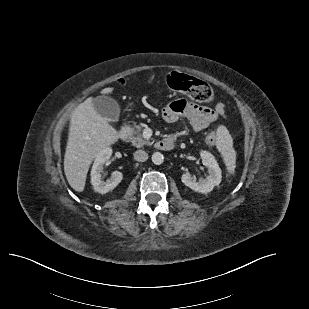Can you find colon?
Listing matches in <instances>:
<instances>
[{"label":"colon","instance_id":"colon-1","mask_svg":"<svg viewBox=\"0 0 309 309\" xmlns=\"http://www.w3.org/2000/svg\"><path fill=\"white\" fill-rule=\"evenodd\" d=\"M167 86L173 91L188 95L197 102L210 103L214 100V93L210 86L184 73L174 72L168 76ZM205 141L207 144H214L215 136L209 134Z\"/></svg>","mask_w":309,"mask_h":309}]
</instances>
